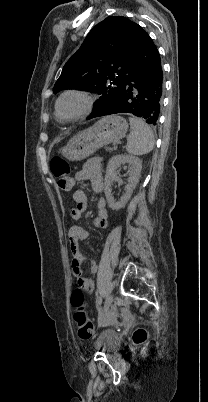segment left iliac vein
I'll return each instance as SVG.
<instances>
[{
  "mask_svg": "<svg viewBox=\"0 0 208 402\" xmlns=\"http://www.w3.org/2000/svg\"><path fill=\"white\" fill-rule=\"evenodd\" d=\"M112 303H113V295L109 294L106 297L105 304H104V311L105 312L109 310V308L112 306Z\"/></svg>",
  "mask_w": 208,
  "mask_h": 402,
  "instance_id": "4c4485c4",
  "label": "left iliac vein"
}]
</instances>
